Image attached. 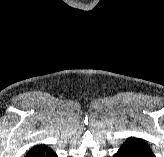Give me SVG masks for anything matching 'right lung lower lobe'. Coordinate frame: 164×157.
<instances>
[{
  "label": "right lung lower lobe",
  "mask_w": 164,
  "mask_h": 157,
  "mask_svg": "<svg viewBox=\"0 0 164 157\" xmlns=\"http://www.w3.org/2000/svg\"><path fill=\"white\" fill-rule=\"evenodd\" d=\"M25 157H57V155L46 145H36L28 151Z\"/></svg>",
  "instance_id": "98d812e1"
}]
</instances>
